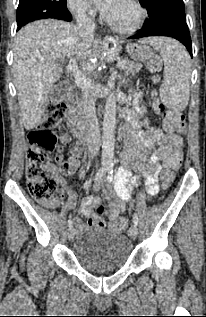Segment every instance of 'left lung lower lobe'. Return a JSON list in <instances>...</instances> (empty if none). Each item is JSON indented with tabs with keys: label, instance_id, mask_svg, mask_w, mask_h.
I'll list each match as a JSON object with an SVG mask.
<instances>
[{
	"label": "left lung lower lobe",
	"instance_id": "left-lung-lower-lobe-1",
	"mask_svg": "<svg viewBox=\"0 0 206 317\" xmlns=\"http://www.w3.org/2000/svg\"><path fill=\"white\" fill-rule=\"evenodd\" d=\"M148 36H167L179 40L189 51L192 57L190 33L186 21L165 18L143 25L139 33L129 37L137 39Z\"/></svg>",
	"mask_w": 206,
	"mask_h": 317
}]
</instances>
